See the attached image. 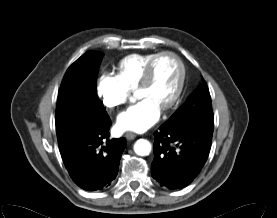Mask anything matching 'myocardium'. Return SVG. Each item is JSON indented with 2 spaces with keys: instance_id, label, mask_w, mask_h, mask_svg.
Listing matches in <instances>:
<instances>
[{
  "instance_id": "myocardium-1",
  "label": "myocardium",
  "mask_w": 277,
  "mask_h": 218,
  "mask_svg": "<svg viewBox=\"0 0 277 218\" xmlns=\"http://www.w3.org/2000/svg\"><path fill=\"white\" fill-rule=\"evenodd\" d=\"M171 57L173 58L176 63L179 66V70H180V76H179V81L177 84V87L174 91V93L172 94V96L161 106L162 110H167L170 107H172L177 101L178 99L181 97L184 86H185V82H186V66L185 63L183 61V59L175 52L172 51H163V52H159L157 53L148 63L144 75L141 79V81L139 82L137 89L143 88L148 86L151 83L152 77H153V71H154V67L157 63V61L162 58V57Z\"/></svg>"
}]
</instances>
